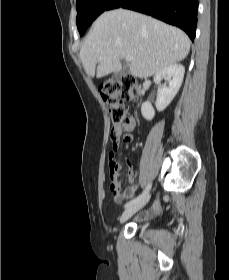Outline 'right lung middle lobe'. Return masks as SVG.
Instances as JSON below:
<instances>
[{
  "mask_svg": "<svg viewBox=\"0 0 229 280\" xmlns=\"http://www.w3.org/2000/svg\"><path fill=\"white\" fill-rule=\"evenodd\" d=\"M115 0H76L77 28L83 36L88 26L104 11L109 10Z\"/></svg>",
  "mask_w": 229,
  "mask_h": 280,
  "instance_id": "dd1d6c3e",
  "label": "right lung middle lobe"
}]
</instances>
